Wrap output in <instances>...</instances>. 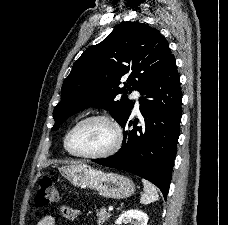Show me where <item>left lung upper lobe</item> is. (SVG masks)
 I'll return each mask as SVG.
<instances>
[{
	"label": "left lung upper lobe",
	"mask_w": 228,
	"mask_h": 225,
	"mask_svg": "<svg viewBox=\"0 0 228 225\" xmlns=\"http://www.w3.org/2000/svg\"><path fill=\"white\" fill-rule=\"evenodd\" d=\"M171 56L159 30L135 21L119 24L74 63L63 83L61 101L53 111L52 130L69 116L92 106L109 110L121 125L134 104L123 97L131 90L141 92L147 87ZM122 77H127L124 87L119 86ZM119 94L124 95L120 101L115 100Z\"/></svg>",
	"instance_id": "left-lung-upper-lobe-1"
}]
</instances>
